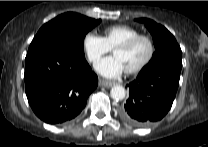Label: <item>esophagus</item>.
I'll use <instances>...</instances> for the list:
<instances>
[{"instance_id": "esophagus-1", "label": "esophagus", "mask_w": 208, "mask_h": 147, "mask_svg": "<svg viewBox=\"0 0 208 147\" xmlns=\"http://www.w3.org/2000/svg\"><path fill=\"white\" fill-rule=\"evenodd\" d=\"M99 83H100L101 86L106 87V88H110V87L115 85V82L107 81V80H104V79H101L99 81Z\"/></svg>"}]
</instances>
